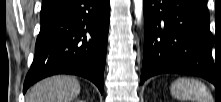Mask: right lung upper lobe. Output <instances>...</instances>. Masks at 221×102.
Listing matches in <instances>:
<instances>
[{
	"label": "right lung upper lobe",
	"mask_w": 221,
	"mask_h": 102,
	"mask_svg": "<svg viewBox=\"0 0 221 102\" xmlns=\"http://www.w3.org/2000/svg\"><path fill=\"white\" fill-rule=\"evenodd\" d=\"M63 0H43L41 13H45L56 7Z\"/></svg>",
	"instance_id": "cb5924a9"
}]
</instances>
